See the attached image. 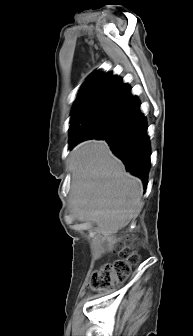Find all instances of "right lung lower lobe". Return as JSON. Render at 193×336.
Returning <instances> with one entry per match:
<instances>
[{
  "label": "right lung lower lobe",
  "mask_w": 193,
  "mask_h": 336,
  "mask_svg": "<svg viewBox=\"0 0 193 336\" xmlns=\"http://www.w3.org/2000/svg\"><path fill=\"white\" fill-rule=\"evenodd\" d=\"M94 139L105 140L112 152L124 162L126 169L140 177L146 188L151 155L147 122L131 89L118 101ZM77 143H71L70 147Z\"/></svg>",
  "instance_id": "obj_1"
}]
</instances>
